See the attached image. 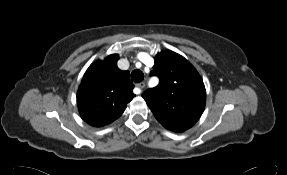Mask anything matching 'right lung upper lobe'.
I'll return each mask as SVG.
<instances>
[{"mask_svg":"<svg viewBox=\"0 0 287 175\" xmlns=\"http://www.w3.org/2000/svg\"><path fill=\"white\" fill-rule=\"evenodd\" d=\"M118 59L113 54L94 62L82 78L78 109L82 119L92 126L102 127L119 118L135 96L129 72L117 67Z\"/></svg>","mask_w":287,"mask_h":175,"instance_id":"right-lung-upper-lobe-1","label":"right lung upper lobe"}]
</instances>
